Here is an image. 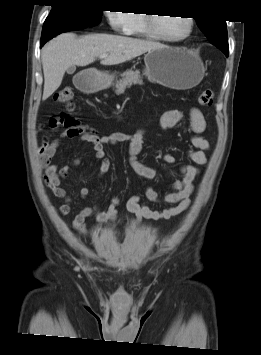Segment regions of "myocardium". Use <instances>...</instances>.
Wrapping results in <instances>:
<instances>
[{
	"label": "myocardium",
	"mask_w": 261,
	"mask_h": 355,
	"mask_svg": "<svg viewBox=\"0 0 261 355\" xmlns=\"http://www.w3.org/2000/svg\"><path fill=\"white\" fill-rule=\"evenodd\" d=\"M145 15V26H146V30L148 31V33L150 35H152V37L158 39V40H162L165 42H171V43H177V42H182L184 40H186L187 38H189L194 30V19L190 16H186V20L188 22V31L181 37L179 38H170L167 36H164L163 34L160 33V31L157 28V24H156V14H152V13H147L144 14Z\"/></svg>",
	"instance_id": "f54148a6"
}]
</instances>
